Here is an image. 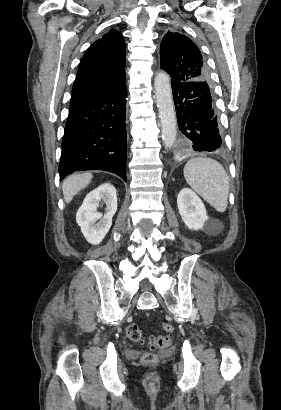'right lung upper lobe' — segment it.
<instances>
[{"label": "right lung upper lobe", "instance_id": "1", "mask_svg": "<svg viewBox=\"0 0 281 410\" xmlns=\"http://www.w3.org/2000/svg\"><path fill=\"white\" fill-rule=\"evenodd\" d=\"M125 43L112 30L84 54L73 84L71 105L115 90L125 84Z\"/></svg>", "mask_w": 281, "mask_h": 410}]
</instances>
